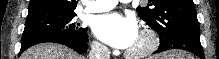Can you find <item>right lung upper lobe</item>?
<instances>
[{"label": "right lung upper lobe", "mask_w": 219, "mask_h": 59, "mask_svg": "<svg viewBox=\"0 0 219 59\" xmlns=\"http://www.w3.org/2000/svg\"><path fill=\"white\" fill-rule=\"evenodd\" d=\"M76 5V0H31L28 13L39 10L72 13L74 12Z\"/></svg>", "instance_id": "obj_1"}]
</instances>
